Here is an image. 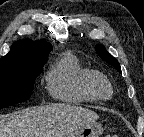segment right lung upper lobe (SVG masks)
<instances>
[{
    "label": "right lung upper lobe",
    "mask_w": 144,
    "mask_h": 137,
    "mask_svg": "<svg viewBox=\"0 0 144 137\" xmlns=\"http://www.w3.org/2000/svg\"><path fill=\"white\" fill-rule=\"evenodd\" d=\"M51 50V44L43 40L17 41L12 45L11 51L0 59V66L46 62Z\"/></svg>",
    "instance_id": "obj_1"
}]
</instances>
